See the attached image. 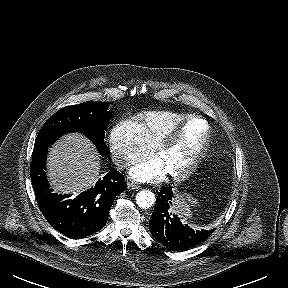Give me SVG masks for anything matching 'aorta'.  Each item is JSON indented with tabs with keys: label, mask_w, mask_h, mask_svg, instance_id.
<instances>
[{
	"label": "aorta",
	"mask_w": 288,
	"mask_h": 288,
	"mask_svg": "<svg viewBox=\"0 0 288 288\" xmlns=\"http://www.w3.org/2000/svg\"><path fill=\"white\" fill-rule=\"evenodd\" d=\"M136 204L142 209H148L155 203V195L150 190H141L137 193Z\"/></svg>",
	"instance_id": "1"
}]
</instances>
